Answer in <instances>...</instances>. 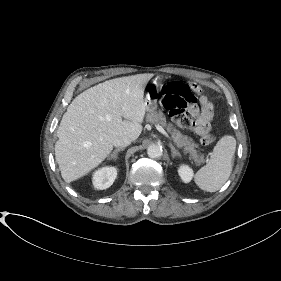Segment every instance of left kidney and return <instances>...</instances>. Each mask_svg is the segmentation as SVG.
<instances>
[{"mask_svg": "<svg viewBox=\"0 0 281 281\" xmlns=\"http://www.w3.org/2000/svg\"><path fill=\"white\" fill-rule=\"evenodd\" d=\"M179 176L185 183H189L193 177V170L188 165H181L178 169Z\"/></svg>", "mask_w": 281, "mask_h": 281, "instance_id": "obj_1", "label": "left kidney"}]
</instances>
